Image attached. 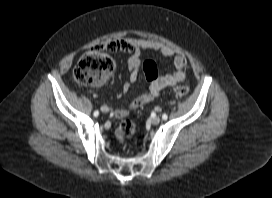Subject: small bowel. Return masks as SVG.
<instances>
[{
  "label": "small bowel",
  "instance_id": "1",
  "mask_svg": "<svg viewBox=\"0 0 272 198\" xmlns=\"http://www.w3.org/2000/svg\"><path fill=\"white\" fill-rule=\"evenodd\" d=\"M98 48L131 54L126 60L129 75L123 85V92H128L140 77L142 64L140 58L141 51L152 50L173 59L175 69L172 73L166 75H158V73L156 75H144L149 81L148 91L138 95L127 108L114 109L112 114L117 118L125 116L131 109L153 102L158 98L163 88L182 82L185 79L186 61L184 56L165 44L147 39L124 38L108 41Z\"/></svg>",
  "mask_w": 272,
  "mask_h": 198
}]
</instances>
